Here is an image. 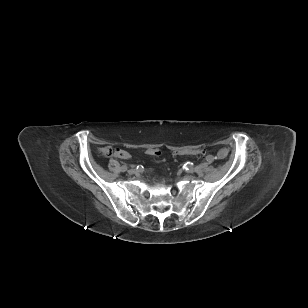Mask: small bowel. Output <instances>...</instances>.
<instances>
[{
	"instance_id": "1",
	"label": "small bowel",
	"mask_w": 308,
	"mask_h": 308,
	"mask_svg": "<svg viewBox=\"0 0 308 308\" xmlns=\"http://www.w3.org/2000/svg\"><path fill=\"white\" fill-rule=\"evenodd\" d=\"M227 154H228V151L226 149H221L218 152V157L222 159V158H225Z\"/></svg>"
}]
</instances>
